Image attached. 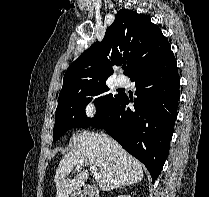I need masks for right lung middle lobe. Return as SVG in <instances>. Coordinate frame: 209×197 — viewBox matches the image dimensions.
Returning a JSON list of instances; mask_svg holds the SVG:
<instances>
[{
    "label": "right lung middle lobe",
    "mask_w": 209,
    "mask_h": 197,
    "mask_svg": "<svg viewBox=\"0 0 209 197\" xmlns=\"http://www.w3.org/2000/svg\"><path fill=\"white\" fill-rule=\"evenodd\" d=\"M106 82L71 85L61 89L53 129V141L58 140L66 131L74 127H87L92 120L106 111L123 93H108ZM97 113L94 118H87L85 106L92 100Z\"/></svg>",
    "instance_id": "obj_1"
}]
</instances>
